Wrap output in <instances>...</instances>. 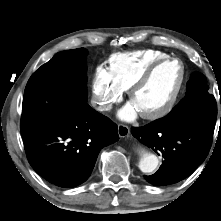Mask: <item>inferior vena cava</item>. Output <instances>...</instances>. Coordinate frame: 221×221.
Returning a JSON list of instances; mask_svg holds the SVG:
<instances>
[{"instance_id":"inferior-vena-cava-1","label":"inferior vena cava","mask_w":221,"mask_h":221,"mask_svg":"<svg viewBox=\"0 0 221 221\" xmlns=\"http://www.w3.org/2000/svg\"><path fill=\"white\" fill-rule=\"evenodd\" d=\"M92 105L94 107H96L97 110L99 111H107V110H110L111 109V105H99L97 106L96 104L98 103L96 100H92L91 101Z\"/></svg>"}]
</instances>
